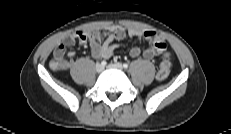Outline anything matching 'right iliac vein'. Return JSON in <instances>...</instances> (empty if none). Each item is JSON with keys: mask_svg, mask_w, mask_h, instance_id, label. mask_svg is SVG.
<instances>
[{"mask_svg": "<svg viewBox=\"0 0 231 134\" xmlns=\"http://www.w3.org/2000/svg\"><path fill=\"white\" fill-rule=\"evenodd\" d=\"M104 67L101 64H96L95 70L97 73H101L103 71Z\"/></svg>", "mask_w": 231, "mask_h": 134, "instance_id": "63e3f726", "label": "right iliac vein"}]
</instances>
